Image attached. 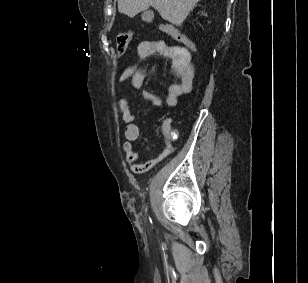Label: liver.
Wrapping results in <instances>:
<instances>
[{"label": "liver", "instance_id": "1", "mask_svg": "<svg viewBox=\"0 0 308 283\" xmlns=\"http://www.w3.org/2000/svg\"><path fill=\"white\" fill-rule=\"evenodd\" d=\"M199 1L200 0H118V10L120 13L132 18L152 6L159 12L164 20L176 26H180Z\"/></svg>", "mask_w": 308, "mask_h": 283}]
</instances>
